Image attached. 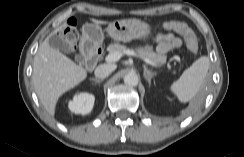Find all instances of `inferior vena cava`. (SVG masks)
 <instances>
[{
	"instance_id": "inferior-vena-cava-1",
	"label": "inferior vena cava",
	"mask_w": 244,
	"mask_h": 157,
	"mask_svg": "<svg viewBox=\"0 0 244 157\" xmlns=\"http://www.w3.org/2000/svg\"><path fill=\"white\" fill-rule=\"evenodd\" d=\"M114 71V66L108 64L99 65L95 69V76L100 79L108 77Z\"/></svg>"
}]
</instances>
